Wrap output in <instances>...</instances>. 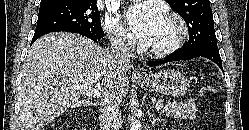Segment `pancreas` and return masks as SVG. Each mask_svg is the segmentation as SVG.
<instances>
[{
    "mask_svg": "<svg viewBox=\"0 0 249 130\" xmlns=\"http://www.w3.org/2000/svg\"><path fill=\"white\" fill-rule=\"evenodd\" d=\"M160 102H163V100H160ZM196 111V106L193 101L188 103L167 101L162 113L167 116L171 115L174 118L193 120L196 118Z\"/></svg>",
    "mask_w": 249,
    "mask_h": 130,
    "instance_id": "cf45deb5",
    "label": "pancreas"
}]
</instances>
